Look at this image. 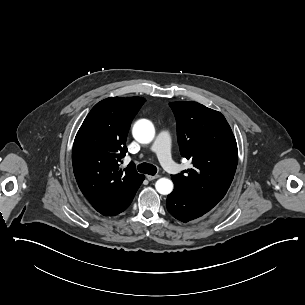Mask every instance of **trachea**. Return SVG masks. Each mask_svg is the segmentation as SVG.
Returning <instances> with one entry per match:
<instances>
[{
  "label": "trachea",
  "instance_id": "1",
  "mask_svg": "<svg viewBox=\"0 0 305 305\" xmlns=\"http://www.w3.org/2000/svg\"><path fill=\"white\" fill-rule=\"evenodd\" d=\"M136 169L144 174L155 175L157 173L156 166L149 163H141L136 166Z\"/></svg>",
  "mask_w": 305,
  "mask_h": 305
}]
</instances>
